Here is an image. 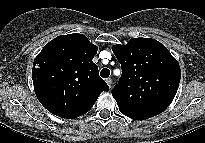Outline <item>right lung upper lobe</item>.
I'll list each match as a JSON object with an SVG mask.
<instances>
[{
    "instance_id": "right-lung-upper-lobe-1",
    "label": "right lung upper lobe",
    "mask_w": 205,
    "mask_h": 143,
    "mask_svg": "<svg viewBox=\"0 0 205 143\" xmlns=\"http://www.w3.org/2000/svg\"><path fill=\"white\" fill-rule=\"evenodd\" d=\"M97 46L83 34H68L47 43L34 60L32 79L40 103L51 113L73 119L87 113L108 91L92 59Z\"/></svg>"
}]
</instances>
